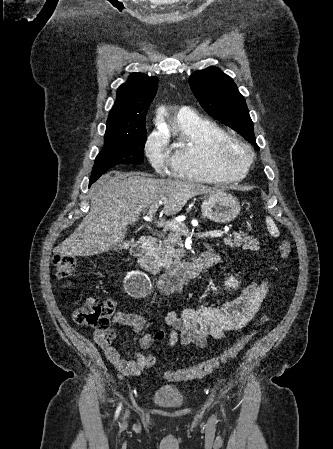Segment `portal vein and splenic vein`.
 Listing matches in <instances>:
<instances>
[{
    "mask_svg": "<svg viewBox=\"0 0 333 449\" xmlns=\"http://www.w3.org/2000/svg\"><path fill=\"white\" fill-rule=\"evenodd\" d=\"M162 201H159L158 203H154L150 206V209L148 211V216L149 217H153L154 214L156 213V211L159 208V205L161 204ZM158 226L163 227L164 229H170L173 231H182L184 233H186L185 230V225L184 224H179L177 222H169V221H161L158 222ZM224 234L223 231H211V232H202V233H198L197 236L199 238H216V237H220Z\"/></svg>",
    "mask_w": 333,
    "mask_h": 449,
    "instance_id": "1",
    "label": "portal vein and splenic vein"
}]
</instances>
